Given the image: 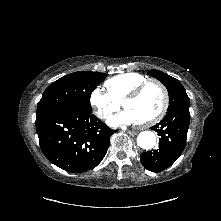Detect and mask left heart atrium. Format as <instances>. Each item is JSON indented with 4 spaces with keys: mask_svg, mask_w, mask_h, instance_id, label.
I'll return each mask as SVG.
<instances>
[{
    "mask_svg": "<svg viewBox=\"0 0 221 221\" xmlns=\"http://www.w3.org/2000/svg\"><path fill=\"white\" fill-rule=\"evenodd\" d=\"M110 125L117 126L120 124L131 125L137 123L135 117L128 110H124L120 115L113 116L108 120Z\"/></svg>",
    "mask_w": 221,
    "mask_h": 221,
    "instance_id": "left-heart-atrium-1",
    "label": "left heart atrium"
}]
</instances>
